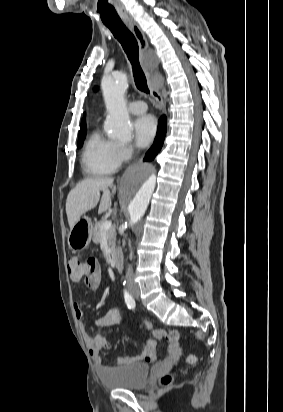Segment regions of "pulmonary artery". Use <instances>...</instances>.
<instances>
[{"label":"pulmonary artery","mask_w":283,"mask_h":412,"mask_svg":"<svg viewBox=\"0 0 283 412\" xmlns=\"http://www.w3.org/2000/svg\"><path fill=\"white\" fill-rule=\"evenodd\" d=\"M128 110L132 114L139 115V114H142V113L146 112L147 105L142 100H136V101H133L129 104Z\"/></svg>","instance_id":"1"}]
</instances>
